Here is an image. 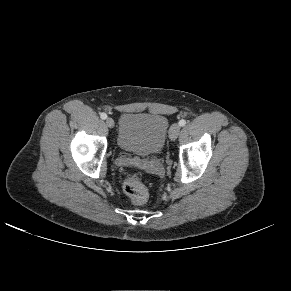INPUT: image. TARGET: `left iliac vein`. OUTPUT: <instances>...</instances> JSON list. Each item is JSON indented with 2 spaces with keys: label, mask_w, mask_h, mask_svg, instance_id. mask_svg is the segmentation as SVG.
I'll return each mask as SVG.
<instances>
[{
  "label": "left iliac vein",
  "mask_w": 291,
  "mask_h": 291,
  "mask_svg": "<svg viewBox=\"0 0 291 291\" xmlns=\"http://www.w3.org/2000/svg\"><path fill=\"white\" fill-rule=\"evenodd\" d=\"M179 132H180V126L177 123L173 124L169 132L170 139L174 141L178 137Z\"/></svg>",
  "instance_id": "1"
}]
</instances>
